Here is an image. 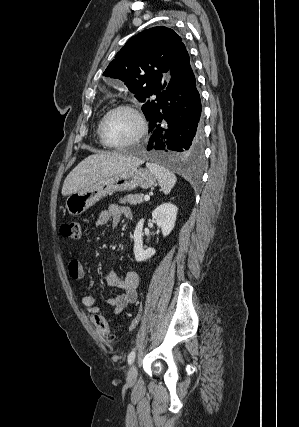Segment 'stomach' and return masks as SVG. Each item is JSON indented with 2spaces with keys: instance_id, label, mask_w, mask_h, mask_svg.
Returning <instances> with one entry per match:
<instances>
[{
  "instance_id": "1",
  "label": "stomach",
  "mask_w": 299,
  "mask_h": 427,
  "mask_svg": "<svg viewBox=\"0 0 299 427\" xmlns=\"http://www.w3.org/2000/svg\"><path fill=\"white\" fill-rule=\"evenodd\" d=\"M155 183L156 178L148 169L133 167L69 195L65 201V208L70 215L78 216L107 195L135 190L137 187L148 189Z\"/></svg>"
}]
</instances>
